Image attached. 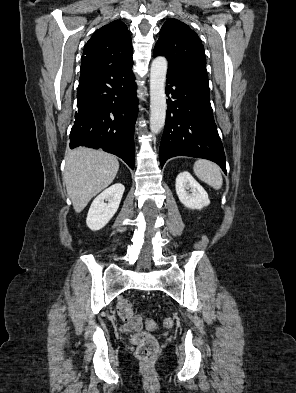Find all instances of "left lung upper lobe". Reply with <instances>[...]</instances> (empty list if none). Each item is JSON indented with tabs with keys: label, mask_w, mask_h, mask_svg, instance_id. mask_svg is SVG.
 <instances>
[{
	"label": "left lung upper lobe",
	"mask_w": 296,
	"mask_h": 393,
	"mask_svg": "<svg viewBox=\"0 0 296 393\" xmlns=\"http://www.w3.org/2000/svg\"><path fill=\"white\" fill-rule=\"evenodd\" d=\"M153 55L167 58V73L208 79L201 40L189 26L179 20L170 19L162 26Z\"/></svg>",
	"instance_id": "1"
}]
</instances>
